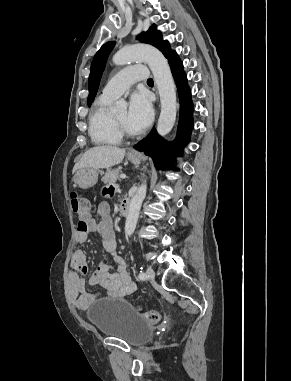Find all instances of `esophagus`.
Segmentation results:
<instances>
[{
	"instance_id": "esophagus-1",
	"label": "esophagus",
	"mask_w": 291,
	"mask_h": 381,
	"mask_svg": "<svg viewBox=\"0 0 291 381\" xmlns=\"http://www.w3.org/2000/svg\"><path fill=\"white\" fill-rule=\"evenodd\" d=\"M130 153L136 154L137 152H135V151L131 150V151H130Z\"/></svg>"
}]
</instances>
